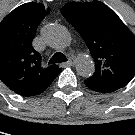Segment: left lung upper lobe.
I'll return each instance as SVG.
<instances>
[{
	"mask_svg": "<svg viewBox=\"0 0 135 135\" xmlns=\"http://www.w3.org/2000/svg\"><path fill=\"white\" fill-rule=\"evenodd\" d=\"M61 12L81 34L95 61V72L86 82L110 92L125 87L135 75V35L97 0L70 2Z\"/></svg>",
	"mask_w": 135,
	"mask_h": 135,
	"instance_id": "5c2ea615",
	"label": "left lung upper lobe"
}]
</instances>
